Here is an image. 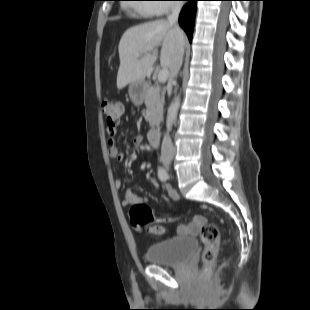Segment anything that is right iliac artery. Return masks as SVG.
I'll return each instance as SVG.
<instances>
[{
  "label": "right iliac artery",
  "mask_w": 310,
  "mask_h": 310,
  "mask_svg": "<svg viewBox=\"0 0 310 310\" xmlns=\"http://www.w3.org/2000/svg\"><path fill=\"white\" fill-rule=\"evenodd\" d=\"M158 177L161 181H166L168 179L169 176L165 168L163 167L158 168Z\"/></svg>",
  "instance_id": "82829eb1"
}]
</instances>
